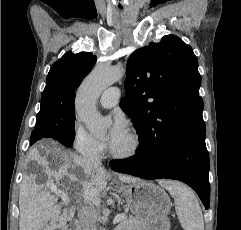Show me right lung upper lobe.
I'll list each match as a JSON object with an SVG mask.
<instances>
[{
  "mask_svg": "<svg viewBox=\"0 0 241 230\" xmlns=\"http://www.w3.org/2000/svg\"><path fill=\"white\" fill-rule=\"evenodd\" d=\"M96 61L92 53L71 51L57 60L48 73L39 112L74 111V91Z\"/></svg>",
  "mask_w": 241,
  "mask_h": 230,
  "instance_id": "1",
  "label": "right lung upper lobe"
}]
</instances>
